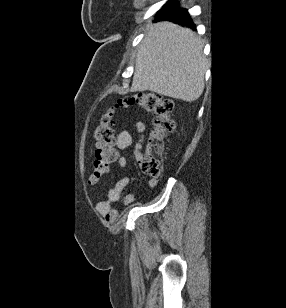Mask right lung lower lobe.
Returning a JSON list of instances; mask_svg holds the SVG:
<instances>
[{
    "label": "right lung lower lobe",
    "mask_w": 286,
    "mask_h": 308,
    "mask_svg": "<svg viewBox=\"0 0 286 308\" xmlns=\"http://www.w3.org/2000/svg\"><path fill=\"white\" fill-rule=\"evenodd\" d=\"M159 20L174 21L180 25L195 28V25L192 23L187 10L179 8L176 2L171 3V10L169 13L164 16H160Z\"/></svg>",
    "instance_id": "right-lung-lower-lobe-1"
}]
</instances>
